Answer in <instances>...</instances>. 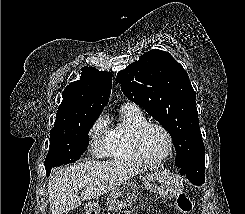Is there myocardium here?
<instances>
[{"label": "myocardium", "mask_w": 245, "mask_h": 214, "mask_svg": "<svg viewBox=\"0 0 245 214\" xmlns=\"http://www.w3.org/2000/svg\"><path fill=\"white\" fill-rule=\"evenodd\" d=\"M152 127L161 130L165 134L168 140L167 152L164 154V156L158 159H149L145 155L143 148H142L143 135L147 131V129L152 128ZM132 146H133V150L136 156L142 163L149 165V166H156V165H160L164 163L166 160H168L171 157L174 151V139L170 131L162 124L157 123V122L146 121L134 129L133 134H132Z\"/></svg>", "instance_id": "1"}]
</instances>
